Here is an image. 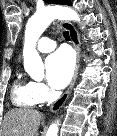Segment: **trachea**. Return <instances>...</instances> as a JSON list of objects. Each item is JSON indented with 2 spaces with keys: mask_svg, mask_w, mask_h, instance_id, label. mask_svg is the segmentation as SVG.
I'll use <instances>...</instances> for the list:
<instances>
[{
  "mask_svg": "<svg viewBox=\"0 0 117 136\" xmlns=\"http://www.w3.org/2000/svg\"><path fill=\"white\" fill-rule=\"evenodd\" d=\"M63 36L66 40H70V35H69V32L68 31H64L63 32Z\"/></svg>",
  "mask_w": 117,
  "mask_h": 136,
  "instance_id": "1",
  "label": "trachea"
}]
</instances>
